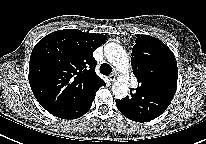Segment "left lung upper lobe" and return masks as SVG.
<instances>
[{
    "label": "left lung upper lobe",
    "instance_id": "1",
    "mask_svg": "<svg viewBox=\"0 0 206 144\" xmlns=\"http://www.w3.org/2000/svg\"><path fill=\"white\" fill-rule=\"evenodd\" d=\"M132 67L139 86L127 96L131 112L140 111L139 98H162L165 107L169 106L176 92L178 76L173 52L155 37L137 35L132 49ZM140 91V97L133 98L132 94Z\"/></svg>",
    "mask_w": 206,
    "mask_h": 144
}]
</instances>
